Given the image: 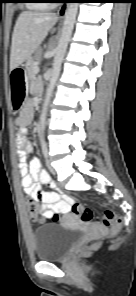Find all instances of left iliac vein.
Returning a JSON list of instances; mask_svg holds the SVG:
<instances>
[{"instance_id":"1","label":"left iliac vein","mask_w":136,"mask_h":296,"mask_svg":"<svg viewBox=\"0 0 136 296\" xmlns=\"http://www.w3.org/2000/svg\"><path fill=\"white\" fill-rule=\"evenodd\" d=\"M46 165H47V167H48V169L50 170L51 173H53V174L56 173L54 167L50 164V162L48 160L46 161Z\"/></svg>"}]
</instances>
